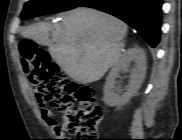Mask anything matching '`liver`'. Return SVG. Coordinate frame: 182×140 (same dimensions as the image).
<instances>
[{"instance_id": "6515ba94", "label": "liver", "mask_w": 182, "mask_h": 140, "mask_svg": "<svg viewBox=\"0 0 182 140\" xmlns=\"http://www.w3.org/2000/svg\"><path fill=\"white\" fill-rule=\"evenodd\" d=\"M126 33L127 25L116 17L79 7L63 15L61 25L40 22L26 27L22 36L47 45L51 57L70 78L87 84L101 79L117 63Z\"/></svg>"}]
</instances>
